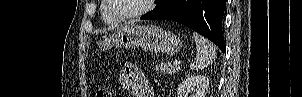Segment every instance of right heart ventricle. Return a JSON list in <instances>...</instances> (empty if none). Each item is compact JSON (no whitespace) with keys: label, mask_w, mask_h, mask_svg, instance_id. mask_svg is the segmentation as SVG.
Masks as SVG:
<instances>
[{"label":"right heart ventricle","mask_w":302,"mask_h":97,"mask_svg":"<svg viewBox=\"0 0 302 97\" xmlns=\"http://www.w3.org/2000/svg\"><path fill=\"white\" fill-rule=\"evenodd\" d=\"M102 12V21L106 24V25H110V26H116L119 24V20L115 19L112 17V15L109 13L107 6L104 5L101 9Z\"/></svg>","instance_id":"1"}]
</instances>
